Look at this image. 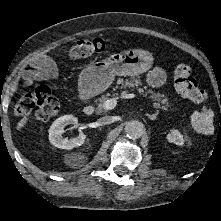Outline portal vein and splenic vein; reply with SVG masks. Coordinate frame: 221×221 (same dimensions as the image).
Returning <instances> with one entry per match:
<instances>
[{"label": "portal vein and splenic vein", "mask_w": 221, "mask_h": 221, "mask_svg": "<svg viewBox=\"0 0 221 221\" xmlns=\"http://www.w3.org/2000/svg\"><path fill=\"white\" fill-rule=\"evenodd\" d=\"M136 97V94L134 93H129V94H124V95H121L120 97H116V98H112V99H108L105 104H104V108L106 110H112L116 107L117 105V100L119 98H124V99H131V98H135ZM160 106V105H159ZM159 106H156V107H159ZM165 107H170L169 105H165Z\"/></svg>", "instance_id": "obj_1"}]
</instances>
